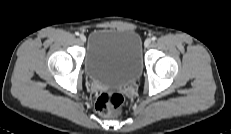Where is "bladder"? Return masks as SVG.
I'll return each instance as SVG.
<instances>
[{
  "label": "bladder",
  "mask_w": 231,
  "mask_h": 134,
  "mask_svg": "<svg viewBox=\"0 0 231 134\" xmlns=\"http://www.w3.org/2000/svg\"><path fill=\"white\" fill-rule=\"evenodd\" d=\"M142 67V41L136 32L103 28L90 33L84 68L92 82L126 86L139 78Z\"/></svg>",
  "instance_id": "obj_1"
}]
</instances>
